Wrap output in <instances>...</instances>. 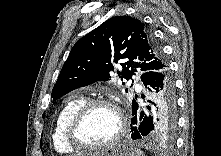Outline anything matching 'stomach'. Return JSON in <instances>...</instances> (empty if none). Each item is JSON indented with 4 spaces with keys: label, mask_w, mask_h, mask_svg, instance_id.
<instances>
[{
    "label": "stomach",
    "mask_w": 221,
    "mask_h": 156,
    "mask_svg": "<svg viewBox=\"0 0 221 156\" xmlns=\"http://www.w3.org/2000/svg\"><path fill=\"white\" fill-rule=\"evenodd\" d=\"M89 156H137L136 149L126 142L104 149Z\"/></svg>",
    "instance_id": "1"
}]
</instances>
